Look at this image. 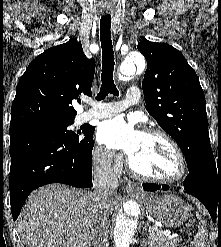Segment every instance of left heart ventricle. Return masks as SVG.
Here are the masks:
<instances>
[{
	"label": "left heart ventricle",
	"mask_w": 221,
	"mask_h": 247,
	"mask_svg": "<svg viewBox=\"0 0 221 247\" xmlns=\"http://www.w3.org/2000/svg\"><path fill=\"white\" fill-rule=\"evenodd\" d=\"M130 158L134 167L144 174L171 178L179 173L176 152L167 141L159 136L143 134Z\"/></svg>",
	"instance_id": "obj_1"
}]
</instances>
